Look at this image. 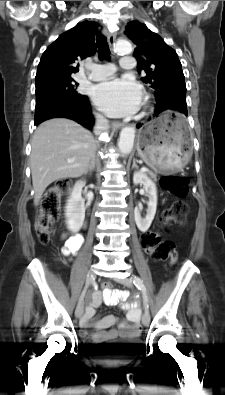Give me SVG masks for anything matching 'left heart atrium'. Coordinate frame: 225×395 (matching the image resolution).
<instances>
[{"instance_id":"left-heart-atrium-1","label":"left heart atrium","mask_w":225,"mask_h":395,"mask_svg":"<svg viewBox=\"0 0 225 395\" xmlns=\"http://www.w3.org/2000/svg\"><path fill=\"white\" fill-rule=\"evenodd\" d=\"M92 99L107 115L120 117L137 111L142 91L139 84L130 78H112L94 87Z\"/></svg>"}]
</instances>
